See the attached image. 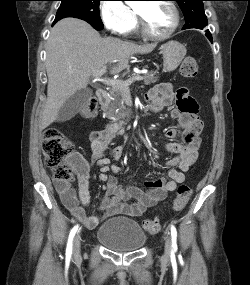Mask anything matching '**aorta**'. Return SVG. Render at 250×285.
<instances>
[{
  "label": "aorta",
  "mask_w": 250,
  "mask_h": 285,
  "mask_svg": "<svg viewBox=\"0 0 250 285\" xmlns=\"http://www.w3.org/2000/svg\"><path fill=\"white\" fill-rule=\"evenodd\" d=\"M127 3H128V4H131V3H132V1H127Z\"/></svg>",
  "instance_id": "aorta-1"
}]
</instances>
